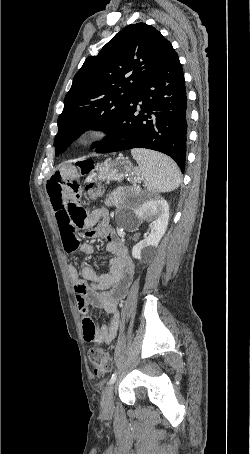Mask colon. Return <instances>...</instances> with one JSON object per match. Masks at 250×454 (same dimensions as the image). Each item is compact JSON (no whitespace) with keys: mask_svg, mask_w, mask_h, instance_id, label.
<instances>
[{"mask_svg":"<svg viewBox=\"0 0 250 454\" xmlns=\"http://www.w3.org/2000/svg\"><path fill=\"white\" fill-rule=\"evenodd\" d=\"M104 192L102 185L96 182H92L86 185L87 197L94 201L99 199ZM89 359L94 372L102 376L111 369V356L110 354L99 347H92L89 350Z\"/></svg>","mask_w":250,"mask_h":454,"instance_id":"obj_1","label":"colon"}]
</instances>
